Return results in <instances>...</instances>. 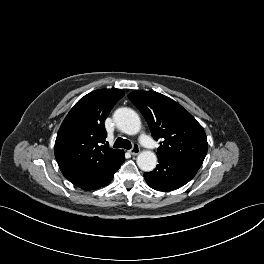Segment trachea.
Masks as SVG:
<instances>
[{"label": "trachea", "instance_id": "obj_1", "mask_svg": "<svg viewBox=\"0 0 264 264\" xmlns=\"http://www.w3.org/2000/svg\"><path fill=\"white\" fill-rule=\"evenodd\" d=\"M115 148H125V149H131L132 145L131 142L127 139H123L121 137L117 138L114 143Z\"/></svg>", "mask_w": 264, "mask_h": 264}]
</instances>
